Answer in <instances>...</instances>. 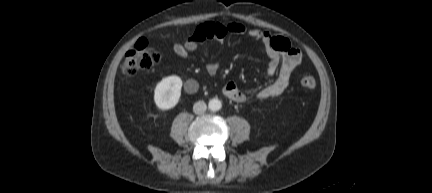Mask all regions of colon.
<instances>
[{
	"label": "colon",
	"instance_id": "1",
	"mask_svg": "<svg viewBox=\"0 0 432 193\" xmlns=\"http://www.w3.org/2000/svg\"><path fill=\"white\" fill-rule=\"evenodd\" d=\"M224 35V30L210 32L206 38H218ZM160 61V54L149 45L145 38L139 39L134 46L129 49L121 64V72L126 76H132L140 70L150 69ZM300 86L308 91L314 90L316 87V79L311 74H304L300 77Z\"/></svg>",
	"mask_w": 432,
	"mask_h": 193
}]
</instances>
